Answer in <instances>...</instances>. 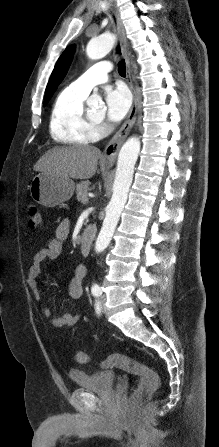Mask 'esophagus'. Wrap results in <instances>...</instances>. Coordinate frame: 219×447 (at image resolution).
<instances>
[{
  "mask_svg": "<svg viewBox=\"0 0 219 447\" xmlns=\"http://www.w3.org/2000/svg\"><path fill=\"white\" fill-rule=\"evenodd\" d=\"M116 18H117L118 34L120 38L121 53L126 62L127 82L133 94V104L126 121L123 123L121 128L115 133V135L111 138V140L109 141L108 145L104 150V159H106L108 163L111 164L115 162L123 142L125 141L126 137L130 133L135 123L137 114V91L132 79V71L127 51V39L125 36V30L118 12H116Z\"/></svg>",
  "mask_w": 219,
  "mask_h": 447,
  "instance_id": "esophagus-1",
  "label": "esophagus"
}]
</instances>
